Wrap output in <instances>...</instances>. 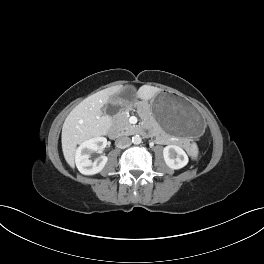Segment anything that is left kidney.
Wrapping results in <instances>:
<instances>
[{
	"mask_svg": "<svg viewBox=\"0 0 264 264\" xmlns=\"http://www.w3.org/2000/svg\"><path fill=\"white\" fill-rule=\"evenodd\" d=\"M166 165L171 169H181L187 165L189 159L186 152L177 145H168L163 149Z\"/></svg>",
	"mask_w": 264,
	"mask_h": 264,
	"instance_id": "1",
	"label": "left kidney"
}]
</instances>
